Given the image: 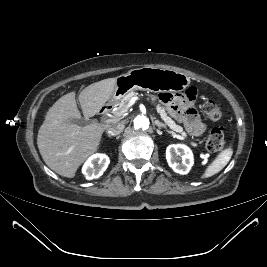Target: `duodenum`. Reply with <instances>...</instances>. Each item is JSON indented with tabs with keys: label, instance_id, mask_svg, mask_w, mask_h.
<instances>
[{
	"label": "duodenum",
	"instance_id": "410a0bca",
	"mask_svg": "<svg viewBox=\"0 0 267 267\" xmlns=\"http://www.w3.org/2000/svg\"><path fill=\"white\" fill-rule=\"evenodd\" d=\"M107 110H108L107 108H102V109L99 110L98 114L99 115H103V114H105L107 112Z\"/></svg>",
	"mask_w": 267,
	"mask_h": 267
}]
</instances>
